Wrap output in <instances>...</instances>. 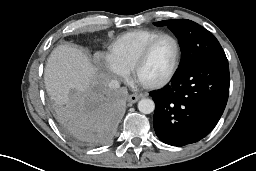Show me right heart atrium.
<instances>
[{
	"instance_id": "d8ad5b80",
	"label": "right heart atrium",
	"mask_w": 256,
	"mask_h": 171,
	"mask_svg": "<svg viewBox=\"0 0 256 171\" xmlns=\"http://www.w3.org/2000/svg\"><path fill=\"white\" fill-rule=\"evenodd\" d=\"M101 63L106 70L116 78H123L126 75V70L116 64L109 57L101 56Z\"/></svg>"
}]
</instances>
